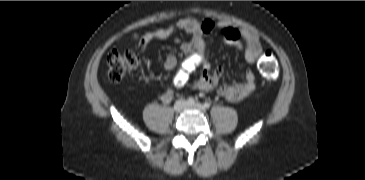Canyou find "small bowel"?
I'll return each instance as SVG.
<instances>
[{
    "label": "small bowel",
    "mask_w": 365,
    "mask_h": 180,
    "mask_svg": "<svg viewBox=\"0 0 365 180\" xmlns=\"http://www.w3.org/2000/svg\"><path fill=\"white\" fill-rule=\"evenodd\" d=\"M216 28L223 30L225 41L235 45L247 63L255 64L262 51L261 40L256 33L230 24L198 20L193 17L182 18L166 28L146 32L139 42V48L145 50L146 46L154 40H164L176 31H184L191 36V40L188 42L175 40L185 54L180 72L175 78V85H183L195 70H199L193 87L201 91H210L217 87L224 75V69L221 66L212 68L205 54V37ZM176 66L177 58L174 55H168L164 61V69L171 71ZM242 76L243 82L221 85L217 88V94L229 102H239L251 96L256 88V75L248 70L243 72ZM172 97L173 92L168 90L162 95V101L168 103Z\"/></svg>",
    "instance_id": "1"
}]
</instances>
